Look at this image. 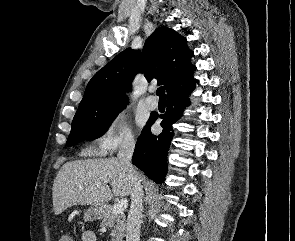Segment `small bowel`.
Returning <instances> with one entry per match:
<instances>
[{"label": "small bowel", "instance_id": "obj_1", "mask_svg": "<svg viewBox=\"0 0 295 241\" xmlns=\"http://www.w3.org/2000/svg\"><path fill=\"white\" fill-rule=\"evenodd\" d=\"M66 237H61L59 241H66ZM82 241H96L95 233L92 230H86L82 233Z\"/></svg>", "mask_w": 295, "mask_h": 241}]
</instances>
